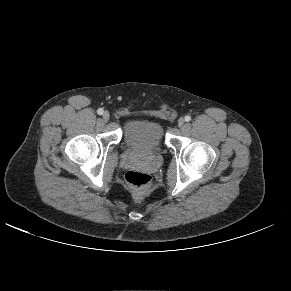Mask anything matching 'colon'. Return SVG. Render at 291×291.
I'll return each mask as SVG.
<instances>
[{
	"mask_svg": "<svg viewBox=\"0 0 291 291\" xmlns=\"http://www.w3.org/2000/svg\"><path fill=\"white\" fill-rule=\"evenodd\" d=\"M125 179L137 195L143 194L151 182L150 175L141 171H129L126 173Z\"/></svg>",
	"mask_w": 291,
	"mask_h": 291,
	"instance_id": "obj_1",
	"label": "colon"
}]
</instances>
